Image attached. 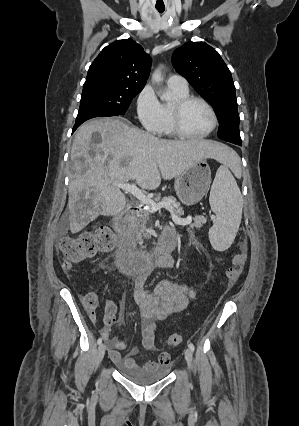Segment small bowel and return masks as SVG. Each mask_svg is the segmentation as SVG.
<instances>
[{
	"label": "small bowel",
	"instance_id": "1",
	"mask_svg": "<svg viewBox=\"0 0 299 426\" xmlns=\"http://www.w3.org/2000/svg\"><path fill=\"white\" fill-rule=\"evenodd\" d=\"M174 266L175 259L167 254L160 256L148 267L134 274L133 297L141 315L142 347L147 351L157 350L155 344L156 322L185 309L196 294V290L185 282L175 283L169 280L160 281L152 291L146 289V283L153 270L169 269ZM123 327V319L117 316L116 304L113 301H108L105 306L103 327L100 329V334L109 345V356L117 367L127 369L152 368L169 364L170 357L166 352H160L157 361L138 363L136 357L141 351L139 347L132 348L125 357H122L120 351L127 348V342L112 337L111 333L114 328Z\"/></svg>",
	"mask_w": 299,
	"mask_h": 426
}]
</instances>
